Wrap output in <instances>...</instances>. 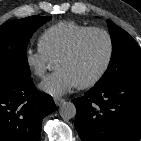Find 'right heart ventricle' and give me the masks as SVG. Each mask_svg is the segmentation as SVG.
<instances>
[{
    "instance_id": "obj_1",
    "label": "right heart ventricle",
    "mask_w": 141,
    "mask_h": 141,
    "mask_svg": "<svg viewBox=\"0 0 141 141\" xmlns=\"http://www.w3.org/2000/svg\"><path fill=\"white\" fill-rule=\"evenodd\" d=\"M88 28L90 26L74 21L58 22L42 32L39 37V45L52 59H58L73 40Z\"/></svg>"
}]
</instances>
